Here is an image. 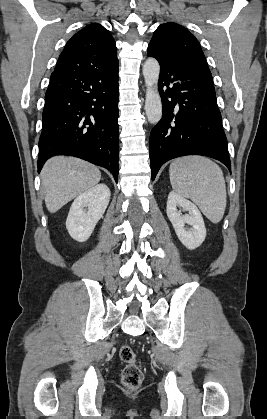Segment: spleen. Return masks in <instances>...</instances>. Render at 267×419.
Here are the masks:
<instances>
[{
    "mask_svg": "<svg viewBox=\"0 0 267 419\" xmlns=\"http://www.w3.org/2000/svg\"><path fill=\"white\" fill-rule=\"evenodd\" d=\"M173 190L190 198L212 222L219 223L226 208V184L221 168L203 156L175 159L169 169Z\"/></svg>",
    "mask_w": 267,
    "mask_h": 419,
    "instance_id": "1",
    "label": "spleen"
}]
</instances>
